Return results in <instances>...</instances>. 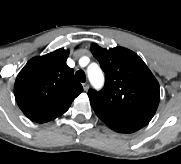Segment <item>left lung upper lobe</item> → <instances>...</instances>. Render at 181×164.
Instances as JSON below:
<instances>
[{
	"label": "left lung upper lobe",
	"instance_id": "5c2ea615",
	"mask_svg": "<svg viewBox=\"0 0 181 164\" xmlns=\"http://www.w3.org/2000/svg\"><path fill=\"white\" fill-rule=\"evenodd\" d=\"M91 51L105 72L103 89L88 91L95 113L139 127L147 125L157 110L160 91L158 81L143 60L123 47L107 50L93 44Z\"/></svg>",
	"mask_w": 181,
	"mask_h": 164
}]
</instances>
